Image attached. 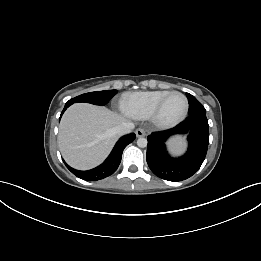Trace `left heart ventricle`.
Returning <instances> with one entry per match:
<instances>
[{
  "label": "left heart ventricle",
  "mask_w": 261,
  "mask_h": 261,
  "mask_svg": "<svg viewBox=\"0 0 261 261\" xmlns=\"http://www.w3.org/2000/svg\"><path fill=\"white\" fill-rule=\"evenodd\" d=\"M185 102L180 95H171L164 102L160 117L164 121H172L178 118L184 110Z\"/></svg>",
  "instance_id": "left-heart-ventricle-1"
}]
</instances>
